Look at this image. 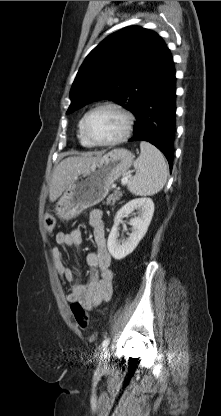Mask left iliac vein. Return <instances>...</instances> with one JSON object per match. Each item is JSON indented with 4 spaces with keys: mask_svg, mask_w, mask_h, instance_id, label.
<instances>
[{
    "mask_svg": "<svg viewBox=\"0 0 221 416\" xmlns=\"http://www.w3.org/2000/svg\"><path fill=\"white\" fill-rule=\"evenodd\" d=\"M106 353H107V351H106ZM99 366H100L101 368H102L103 366H105V361H104L103 357H102V359L100 360Z\"/></svg>",
    "mask_w": 221,
    "mask_h": 416,
    "instance_id": "1",
    "label": "left iliac vein"
}]
</instances>
